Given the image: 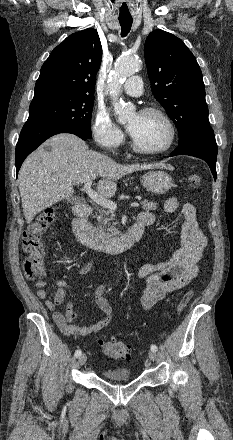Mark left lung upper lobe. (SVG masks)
Instances as JSON below:
<instances>
[{
	"label": "left lung upper lobe",
	"instance_id": "obj_1",
	"mask_svg": "<svg viewBox=\"0 0 233 440\" xmlns=\"http://www.w3.org/2000/svg\"><path fill=\"white\" fill-rule=\"evenodd\" d=\"M144 56L151 89L179 132V144L211 129L202 72L184 42L163 30L151 32Z\"/></svg>",
	"mask_w": 233,
	"mask_h": 440
}]
</instances>
